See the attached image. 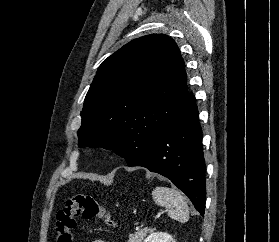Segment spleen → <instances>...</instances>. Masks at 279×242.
<instances>
[{"instance_id": "spleen-1", "label": "spleen", "mask_w": 279, "mask_h": 242, "mask_svg": "<svg viewBox=\"0 0 279 242\" xmlns=\"http://www.w3.org/2000/svg\"><path fill=\"white\" fill-rule=\"evenodd\" d=\"M154 202L167 209L168 215L180 222H187L189 219V208L181 192L168 187H156L152 191Z\"/></svg>"}]
</instances>
